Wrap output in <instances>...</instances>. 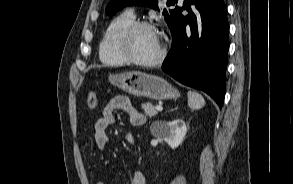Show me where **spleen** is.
<instances>
[{
    "mask_svg": "<svg viewBox=\"0 0 293 184\" xmlns=\"http://www.w3.org/2000/svg\"><path fill=\"white\" fill-rule=\"evenodd\" d=\"M205 105V100L201 94L195 91L188 92V106L191 109L198 110Z\"/></svg>",
    "mask_w": 293,
    "mask_h": 184,
    "instance_id": "obj_1",
    "label": "spleen"
}]
</instances>
